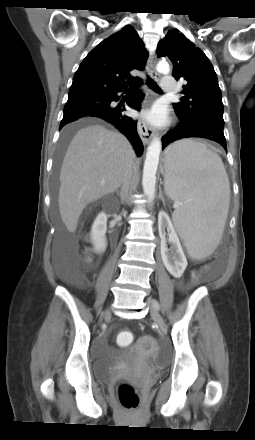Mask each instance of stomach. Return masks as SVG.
Listing matches in <instances>:
<instances>
[{"label": "stomach", "instance_id": "obj_1", "mask_svg": "<svg viewBox=\"0 0 255 440\" xmlns=\"http://www.w3.org/2000/svg\"><path fill=\"white\" fill-rule=\"evenodd\" d=\"M170 155H171V151L169 150L167 155H166V158H165V165H167V163H168V161L170 159Z\"/></svg>", "mask_w": 255, "mask_h": 440}]
</instances>
